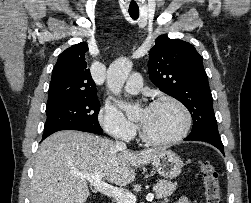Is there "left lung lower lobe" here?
Returning a JSON list of instances; mask_svg holds the SVG:
<instances>
[{"mask_svg":"<svg viewBox=\"0 0 251 203\" xmlns=\"http://www.w3.org/2000/svg\"><path fill=\"white\" fill-rule=\"evenodd\" d=\"M184 140L208 142L213 146H215L216 148H218L224 154V148L220 137L209 136V135H200V136L188 135Z\"/></svg>","mask_w":251,"mask_h":203,"instance_id":"0a47b994","label":"left lung lower lobe"}]
</instances>
